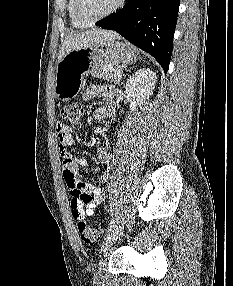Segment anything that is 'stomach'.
Masks as SVG:
<instances>
[{"label":"stomach","instance_id":"obj_1","mask_svg":"<svg viewBox=\"0 0 233 286\" xmlns=\"http://www.w3.org/2000/svg\"><path fill=\"white\" fill-rule=\"evenodd\" d=\"M136 57L132 46L116 39L72 50L57 63L55 94L59 100H71L79 93L85 75L103 65L134 63Z\"/></svg>","mask_w":233,"mask_h":286}]
</instances>
